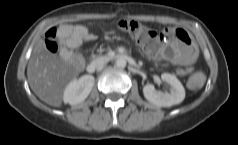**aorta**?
<instances>
[{"instance_id":"obj_1","label":"aorta","mask_w":238,"mask_h":145,"mask_svg":"<svg viewBox=\"0 0 238 145\" xmlns=\"http://www.w3.org/2000/svg\"><path fill=\"white\" fill-rule=\"evenodd\" d=\"M126 59L123 58V57H119L116 62H115V65L118 67V68H125L126 67Z\"/></svg>"}]
</instances>
